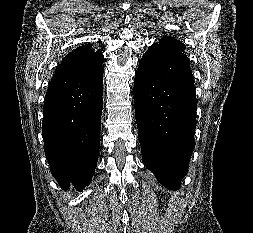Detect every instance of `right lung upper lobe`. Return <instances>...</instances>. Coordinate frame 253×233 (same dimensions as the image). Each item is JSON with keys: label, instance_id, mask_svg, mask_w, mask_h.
<instances>
[{"label": "right lung upper lobe", "instance_id": "right-lung-upper-lobe-1", "mask_svg": "<svg viewBox=\"0 0 253 233\" xmlns=\"http://www.w3.org/2000/svg\"><path fill=\"white\" fill-rule=\"evenodd\" d=\"M104 56L91 44L82 45L71 51L57 67L55 73L83 72L102 66Z\"/></svg>", "mask_w": 253, "mask_h": 233}]
</instances>
